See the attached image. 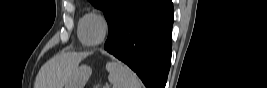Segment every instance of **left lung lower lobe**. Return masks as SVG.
Here are the masks:
<instances>
[{"label": "left lung lower lobe", "mask_w": 267, "mask_h": 88, "mask_svg": "<svg viewBox=\"0 0 267 88\" xmlns=\"http://www.w3.org/2000/svg\"><path fill=\"white\" fill-rule=\"evenodd\" d=\"M173 13L171 0H133L109 28L105 50L134 70L147 88H165Z\"/></svg>", "instance_id": "0a47b994"}]
</instances>
